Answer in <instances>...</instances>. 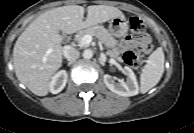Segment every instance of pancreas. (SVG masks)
<instances>
[{
	"label": "pancreas",
	"instance_id": "1",
	"mask_svg": "<svg viewBox=\"0 0 194 133\" xmlns=\"http://www.w3.org/2000/svg\"><path fill=\"white\" fill-rule=\"evenodd\" d=\"M85 35L96 36L101 42H103L108 48L107 55L111 58H115L118 61H122V58L119 57V53L114 49L117 44L115 38L106 30L103 26L96 25L89 28H86L78 33L75 40L81 45L82 38Z\"/></svg>",
	"mask_w": 194,
	"mask_h": 133
}]
</instances>
